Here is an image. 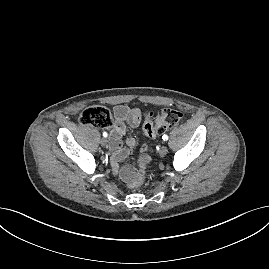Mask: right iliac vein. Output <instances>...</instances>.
<instances>
[{
  "mask_svg": "<svg viewBox=\"0 0 269 269\" xmlns=\"http://www.w3.org/2000/svg\"><path fill=\"white\" fill-rule=\"evenodd\" d=\"M100 143L102 146H106L108 144V140L106 138H102Z\"/></svg>",
  "mask_w": 269,
  "mask_h": 269,
  "instance_id": "63e3f726",
  "label": "right iliac vein"
}]
</instances>
